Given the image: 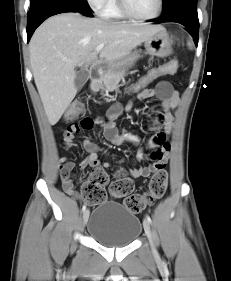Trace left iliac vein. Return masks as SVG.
I'll return each mask as SVG.
<instances>
[{
  "label": "left iliac vein",
  "mask_w": 231,
  "mask_h": 281,
  "mask_svg": "<svg viewBox=\"0 0 231 281\" xmlns=\"http://www.w3.org/2000/svg\"><path fill=\"white\" fill-rule=\"evenodd\" d=\"M143 227H144V231H145L147 237L150 240V243H151V246H152V250H153L154 253H156V248L154 246V241H153V236H152V232H151V227H150L149 222L146 219L143 221Z\"/></svg>",
  "instance_id": "4c4485c4"
}]
</instances>
